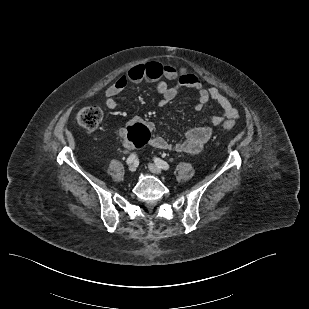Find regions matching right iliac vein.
Listing matches in <instances>:
<instances>
[{"label": "right iliac vein", "instance_id": "obj_1", "mask_svg": "<svg viewBox=\"0 0 309 309\" xmlns=\"http://www.w3.org/2000/svg\"><path fill=\"white\" fill-rule=\"evenodd\" d=\"M136 169H137V166L134 163L129 166L130 172H135Z\"/></svg>", "mask_w": 309, "mask_h": 309}]
</instances>
